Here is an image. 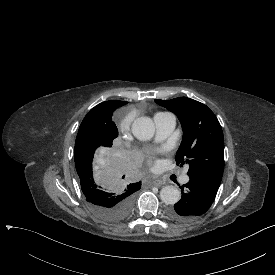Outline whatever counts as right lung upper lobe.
<instances>
[{"label": "right lung upper lobe", "instance_id": "cb5924a9", "mask_svg": "<svg viewBox=\"0 0 275 275\" xmlns=\"http://www.w3.org/2000/svg\"><path fill=\"white\" fill-rule=\"evenodd\" d=\"M127 104L124 101L111 100L98 104L85 116L83 123L97 125V124H111L113 112ZM128 188H141V182L133 183L127 186Z\"/></svg>", "mask_w": 275, "mask_h": 275}]
</instances>
